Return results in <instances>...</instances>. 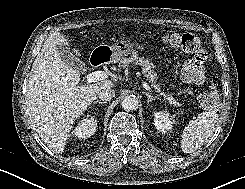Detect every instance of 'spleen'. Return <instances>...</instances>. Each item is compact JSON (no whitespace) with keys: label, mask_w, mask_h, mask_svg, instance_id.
I'll list each match as a JSON object with an SVG mask.
<instances>
[{"label":"spleen","mask_w":245,"mask_h":189,"mask_svg":"<svg viewBox=\"0 0 245 189\" xmlns=\"http://www.w3.org/2000/svg\"><path fill=\"white\" fill-rule=\"evenodd\" d=\"M219 120V115L215 110L198 114L184 128L181 140L182 152L192 153L203 146L213 135Z\"/></svg>","instance_id":"spleen-1"}]
</instances>
